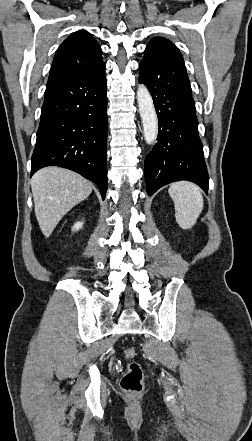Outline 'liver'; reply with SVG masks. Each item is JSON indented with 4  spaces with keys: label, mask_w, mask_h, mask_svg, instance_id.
Here are the masks:
<instances>
[{
    "label": "liver",
    "mask_w": 252,
    "mask_h": 441,
    "mask_svg": "<svg viewBox=\"0 0 252 441\" xmlns=\"http://www.w3.org/2000/svg\"><path fill=\"white\" fill-rule=\"evenodd\" d=\"M35 216L47 238L62 217L92 192L91 183L79 174L60 167H46L31 179Z\"/></svg>",
    "instance_id": "liver-1"
}]
</instances>
